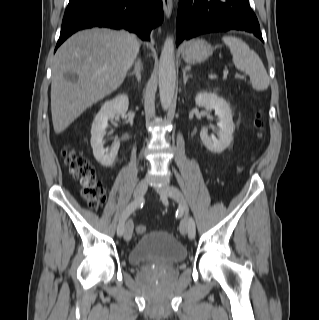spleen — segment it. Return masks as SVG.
<instances>
[{
  "label": "spleen",
  "instance_id": "obj_1",
  "mask_svg": "<svg viewBox=\"0 0 319 320\" xmlns=\"http://www.w3.org/2000/svg\"><path fill=\"white\" fill-rule=\"evenodd\" d=\"M222 40L230 49L235 67L248 73L253 89L266 90L269 77L258 54L238 37L223 36Z\"/></svg>",
  "mask_w": 319,
  "mask_h": 320
}]
</instances>
